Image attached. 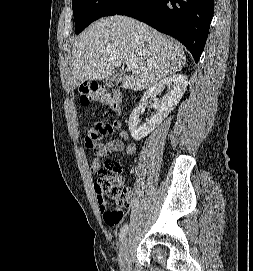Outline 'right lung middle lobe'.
Masks as SVG:
<instances>
[{"mask_svg": "<svg viewBox=\"0 0 253 271\" xmlns=\"http://www.w3.org/2000/svg\"><path fill=\"white\" fill-rule=\"evenodd\" d=\"M126 0H72L75 32L79 34L93 21L114 15Z\"/></svg>", "mask_w": 253, "mask_h": 271, "instance_id": "1", "label": "right lung middle lobe"}]
</instances>
